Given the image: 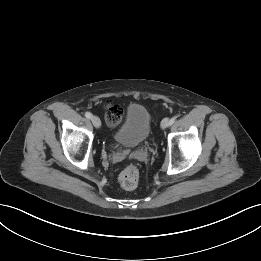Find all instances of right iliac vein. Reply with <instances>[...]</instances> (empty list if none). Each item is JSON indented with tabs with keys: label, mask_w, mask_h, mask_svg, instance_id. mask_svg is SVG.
Listing matches in <instances>:
<instances>
[{
	"label": "right iliac vein",
	"mask_w": 261,
	"mask_h": 261,
	"mask_svg": "<svg viewBox=\"0 0 261 261\" xmlns=\"http://www.w3.org/2000/svg\"><path fill=\"white\" fill-rule=\"evenodd\" d=\"M91 120H92L93 125H94L96 128H99V127L101 126V120L99 119V117L93 116V117L91 118Z\"/></svg>",
	"instance_id": "obj_1"
}]
</instances>
